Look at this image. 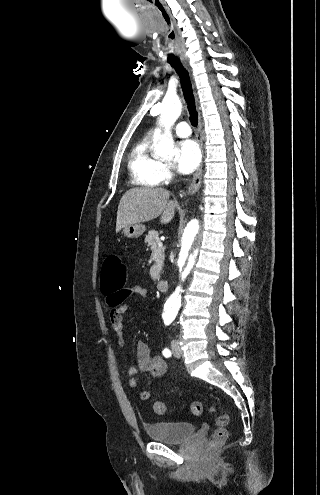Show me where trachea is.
I'll return each mask as SVG.
<instances>
[{
    "label": "trachea",
    "instance_id": "obj_1",
    "mask_svg": "<svg viewBox=\"0 0 320 495\" xmlns=\"http://www.w3.org/2000/svg\"><path fill=\"white\" fill-rule=\"evenodd\" d=\"M171 65L175 68L180 77L181 87L184 94L185 101L187 103L188 111L190 113V122L192 126L198 124V114L196 112V106L193 96L192 84L188 72L182 66L179 60H171Z\"/></svg>",
    "mask_w": 320,
    "mask_h": 495
}]
</instances>
